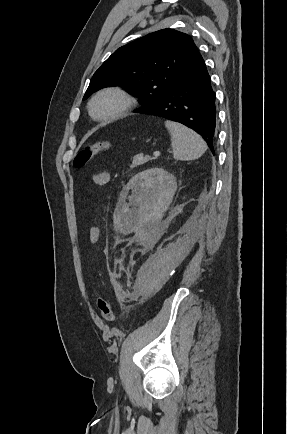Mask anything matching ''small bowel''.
<instances>
[{
  "label": "small bowel",
  "mask_w": 287,
  "mask_h": 434,
  "mask_svg": "<svg viewBox=\"0 0 287 434\" xmlns=\"http://www.w3.org/2000/svg\"><path fill=\"white\" fill-rule=\"evenodd\" d=\"M110 176L106 171L99 172L93 176V181L99 186H103L109 182ZM90 239L92 243H96L99 239V230L97 227H92L90 230Z\"/></svg>",
  "instance_id": "c3829d8e"
}]
</instances>
